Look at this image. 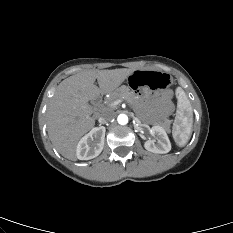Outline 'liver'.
<instances>
[{
    "label": "liver",
    "instance_id": "liver-1",
    "mask_svg": "<svg viewBox=\"0 0 233 233\" xmlns=\"http://www.w3.org/2000/svg\"><path fill=\"white\" fill-rule=\"evenodd\" d=\"M133 71L86 70L58 85L47 110V128L52 144L62 156L75 161L79 139L95 125L88 102L100 94L116 91ZM96 79L99 87L94 84Z\"/></svg>",
    "mask_w": 233,
    "mask_h": 233
}]
</instances>
